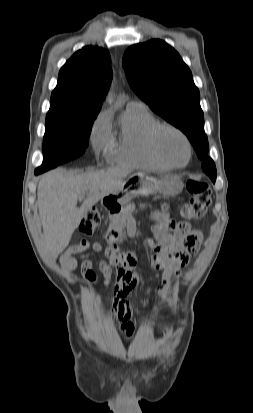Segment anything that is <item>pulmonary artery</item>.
Segmentation results:
<instances>
[{
  "instance_id": "1",
  "label": "pulmonary artery",
  "mask_w": 253,
  "mask_h": 413,
  "mask_svg": "<svg viewBox=\"0 0 253 413\" xmlns=\"http://www.w3.org/2000/svg\"><path fill=\"white\" fill-rule=\"evenodd\" d=\"M128 106H143L141 103H137V102H130L128 104Z\"/></svg>"
}]
</instances>
